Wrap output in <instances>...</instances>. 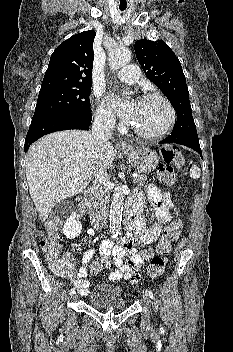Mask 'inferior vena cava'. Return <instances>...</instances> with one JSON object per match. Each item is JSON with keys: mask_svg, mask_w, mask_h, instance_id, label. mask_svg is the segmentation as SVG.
<instances>
[{"mask_svg": "<svg viewBox=\"0 0 233 352\" xmlns=\"http://www.w3.org/2000/svg\"><path fill=\"white\" fill-rule=\"evenodd\" d=\"M114 128L113 119L106 114H97L92 124V139L96 146L101 148L112 137L111 131ZM95 199L98 204L96 225H101L106 222L109 210V181L107 178L106 168L97 163L94 173Z\"/></svg>", "mask_w": 233, "mask_h": 352, "instance_id": "inferior-vena-cava-1", "label": "inferior vena cava"}]
</instances>
